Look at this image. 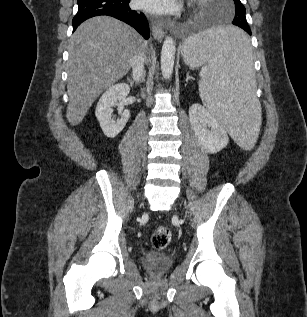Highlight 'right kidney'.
<instances>
[{
  "label": "right kidney",
  "instance_id": "ca27d5eb",
  "mask_svg": "<svg viewBox=\"0 0 307 317\" xmlns=\"http://www.w3.org/2000/svg\"><path fill=\"white\" fill-rule=\"evenodd\" d=\"M129 92L130 87L128 84H115L110 86L103 93L97 103L95 115L100 123L103 133L109 138L117 136L123 130L130 118L129 110L125 109L121 112L119 119H112L113 106L122 103Z\"/></svg>",
  "mask_w": 307,
  "mask_h": 317
}]
</instances>
